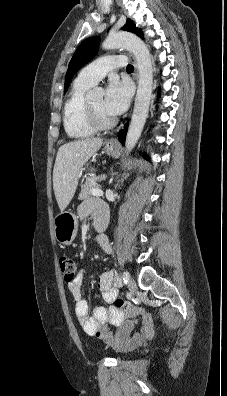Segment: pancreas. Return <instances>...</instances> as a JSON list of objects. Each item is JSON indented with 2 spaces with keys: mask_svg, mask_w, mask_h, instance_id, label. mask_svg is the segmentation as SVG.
<instances>
[{
  "mask_svg": "<svg viewBox=\"0 0 227 396\" xmlns=\"http://www.w3.org/2000/svg\"><path fill=\"white\" fill-rule=\"evenodd\" d=\"M98 187L99 185L96 183L95 178L87 177L85 183L82 186L81 192L79 194V198L81 200L89 198L92 195L91 190Z\"/></svg>",
  "mask_w": 227,
  "mask_h": 396,
  "instance_id": "1",
  "label": "pancreas"
}]
</instances>
